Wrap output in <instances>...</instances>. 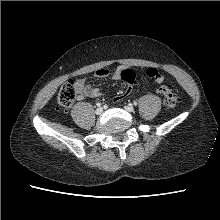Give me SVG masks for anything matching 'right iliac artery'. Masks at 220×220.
Masks as SVG:
<instances>
[{
    "label": "right iliac artery",
    "instance_id": "82829eb1",
    "mask_svg": "<svg viewBox=\"0 0 220 220\" xmlns=\"http://www.w3.org/2000/svg\"><path fill=\"white\" fill-rule=\"evenodd\" d=\"M96 105L99 107V106H101V103H100V102H98Z\"/></svg>",
    "mask_w": 220,
    "mask_h": 220
}]
</instances>
